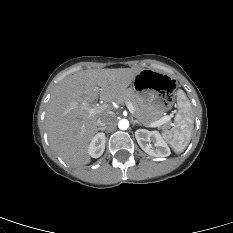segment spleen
I'll return each instance as SVG.
<instances>
[{
  "mask_svg": "<svg viewBox=\"0 0 233 233\" xmlns=\"http://www.w3.org/2000/svg\"><path fill=\"white\" fill-rule=\"evenodd\" d=\"M179 111L171 130H163L164 139L179 154L188 146L194 128L191 103L182 90L177 92Z\"/></svg>",
  "mask_w": 233,
  "mask_h": 233,
  "instance_id": "1",
  "label": "spleen"
}]
</instances>
